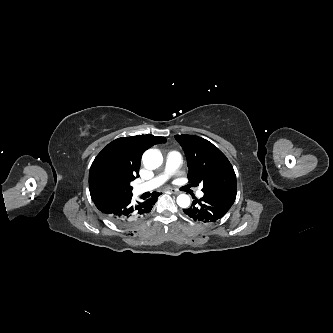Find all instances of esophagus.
Masks as SVG:
<instances>
[{"mask_svg":"<svg viewBox=\"0 0 333 333\" xmlns=\"http://www.w3.org/2000/svg\"><path fill=\"white\" fill-rule=\"evenodd\" d=\"M167 191H169V192H171V193H173V194H176V195L180 193L178 190L173 189V188H170V189H168Z\"/></svg>","mask_w":333,"mask_h":333,"instance_id":"34e87169","label":"esophagus"}]
</instances>
